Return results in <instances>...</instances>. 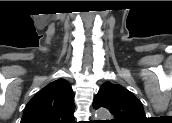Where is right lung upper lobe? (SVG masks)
<instances>
[{
	"label": "right lung upper lobe",
	"mask_w": 172,
	"mask_h": 123,
	"mask_svg": "<svg viewBox=\"0 0 172 123\" xmlns=\"http://www.w3.org/2000/svg\"><path fill=\"white\" fill-rule=\"evenodd\" d=\"M73 91L58 79L36 93L25 107L21 123H74Z\"/></svg>",
	"instance_id": "right-lung-upper-lobe-1"
}]
</instances>
